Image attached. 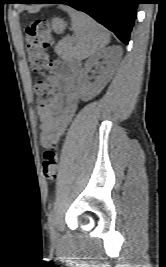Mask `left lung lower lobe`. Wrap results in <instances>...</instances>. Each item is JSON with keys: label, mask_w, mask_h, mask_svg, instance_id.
I'll list each match as a JSON object with an SVG mask.
<instances>
[{"label": "left lung lower lobe", "mask_w": 166, "mask_h": 267, "mask_svg": "<svg viewBox=\"0 0 166 267\" xmlns=\"http://www.w3.org/2000/svg\"><path fill=\"white\" fill-rule=\"evenodd\" d=\"M20 3L68 4L89 14L128 44L139 0H23Z\"/></svg>", "instance_id": "left-lung-lower-lobe-1"}]
</instances>
